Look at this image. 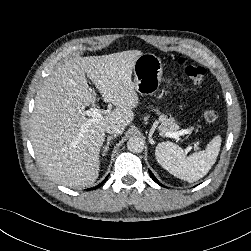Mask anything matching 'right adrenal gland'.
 Segmentation results:
<instances>
[{"label":"right adrenal gland","mask_w":251,"mask_h":251,"mask_svg":"<svg viewBox=\"0 0 251 251\" xmlns=\"http://www.w3.org/2000/svg\"><path fill=\"white\" fill-rule=\"evenodd\" d=\"M117 135H113L107 138V142L106 145L103 147V153L102 156H105L109 150V145H110V141L113 140L114 138H116Z\"/></svg>","instance_id":"1"}]
</instances>
